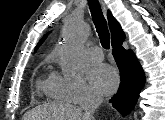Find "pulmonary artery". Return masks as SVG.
I'll return each mask as SVG.
<instances>
[{"instance_id": "pulmonary-artery-1", "label": "pulmonary artery", "mask_w": 165, "mask_h": 120, "mask_svg": "<svg viewBox=\"0 0 165 120\" xmlns=\"http://www.w3.org/2000/svg\"><path fill=\"white\" fill-rule=\"evenodd\" d=\"M86 55H87V58L93 62L101 61L104 57L102 49L98 46L90 47L87 50Z\"/></svg>"}]
</instances>
